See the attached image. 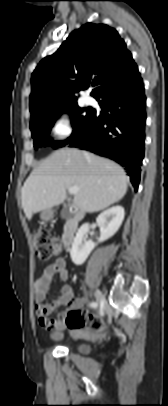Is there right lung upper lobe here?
Returning <instances> with one entry per match:
<instances>
[{
    "label": "right lung upper lobe",
    "mask_w": 168,
    "mask_h": 406,
    "mask_svg": "<svg viewBox=\"0 0 168 406\" xmlns=\"http://www.w3.org/2000/svg\"><path fill=\"white\" fill-rule=\"evenodd\" d=\"M136 64L118 32L105 24L87 23L73 31L60 48L44 58L32 74L31 123L77 104L80 90H101L128 76ZM62 95L56 101V95Z\"/></svg>",
    "instance_id": "obj_1"
}]
</instances>
